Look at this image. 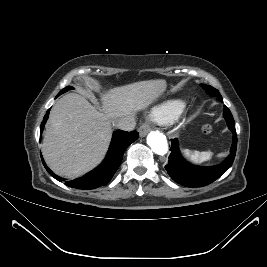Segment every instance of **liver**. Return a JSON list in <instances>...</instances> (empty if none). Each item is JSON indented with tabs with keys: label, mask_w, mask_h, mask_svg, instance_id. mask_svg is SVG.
<instances>
[{
	"label": "liver",
	"mask_w": 267,
	"mask_h": 267,
	"mask_svg": "<svg viewBox=\"0 0 267 267\" xmlns=\"http://www.w3.org/2000/svg\"><path fill=\"white\" fill-rule=\"evenodd\" d=\"M165 87V80H149L113 88L101 96L104 113L79 94L64 95L52 107L44 133L42 153L47 165L68 178L90 171L108 149L111 122L146 109Z\"/></svg>",
	"instance_id": "1"
}]
</instances>
